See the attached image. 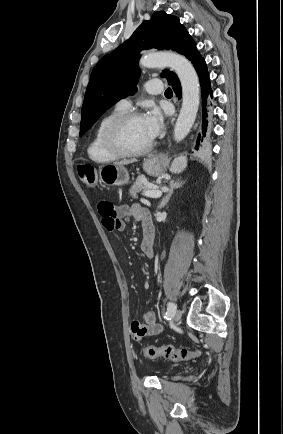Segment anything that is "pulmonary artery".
I'll use <instances>...</instances> for the list:
<instances>
[{"mask_svg": "<svg viewBox=\"0 0 283 434\" xmlns=\"http://www.w3.org/2000/svg\"><path fill=\"white\" fill-rule=\"evenodd\" d=\"M146 91L151 95L160 94L163 90V85L160 80H149L145 84ZM132 106V103L129 99H121L117 103V107L122 110H129Z\"/></svg>", "mask_w": 283, "mask_h": 434, "instance_id": "e3ab8cb5", "label": "pulmonary artery"}]
</instances>
